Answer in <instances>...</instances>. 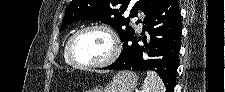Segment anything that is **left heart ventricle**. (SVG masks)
<instances>
[{"instance_id":"left-heart-ventricle-1","label":"left heart ventricle","mask_w":225,"mask_h":92,"mask_svg":"<svg viewBox=\"0 0 225 92\" xmlns=\"http://www.w3.org/2000/svg\"><path fill=\"white\" fill-rule=\"evenodd\" d=\"M73 52L75 57L83 63H98L108 58L112 52L109 36L100 30L84 32L76 40Z\"/></svg>"}]
</instances>
